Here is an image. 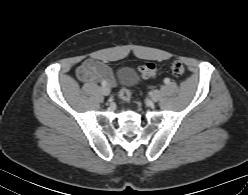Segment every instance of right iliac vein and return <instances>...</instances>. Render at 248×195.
Wrapping results in <instances>:
<instances>
[{
	"label": "right iliac vein",
	"instance_id": "right-iliac-vein-1",
	"mask_svg": "<svg viewBox=\"0 0 248 195\" xmlns=\"http://www.w3.org/2000/svg\"><path fill=\"white\" fill-rule=\"evenodd\" d=\"M101 92L103 95L107 96L110 94V88L108 86H102L101 87Z\"/></svg>",
	"mask_w": 248,
	"mask_h": 195
}]
</instances>
